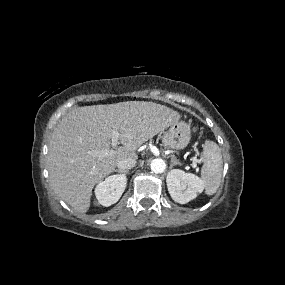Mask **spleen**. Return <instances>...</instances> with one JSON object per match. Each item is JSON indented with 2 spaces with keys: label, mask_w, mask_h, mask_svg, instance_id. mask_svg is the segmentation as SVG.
Masks as SVG:
<instances>
[{
  "label": "spleen",
  "mask_w": 285,
  "mask_h": 285,
  "mask_svg": "<svg viewBox=\"0 0 285 285\" xmlns=\"http://www.w3.org/2000/svg\"><path fill=\"white\" fill-rule=\"evenodd\" d=\"M201 160L203 162L201 178L205 193L211 196L218 190L222 178L223 161L219 146L213 141L206 140Z\"/></svg>",
  "instance_id": "1"
}]
</instances>
